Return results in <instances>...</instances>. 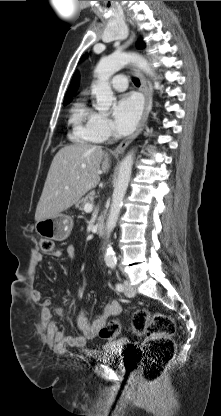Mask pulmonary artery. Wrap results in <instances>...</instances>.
Masks as SVG:
<instances>
[{"label":"pulmonary artery","instance_id":"e3ab8cb5","mask_svg":"<svg viewBox=\"0 0 221 416\" xmlns=\"http://www.w3.org/2000/svg\"><path fill=\"white\" fill-rule=\"evenodd\" d=\"M110 86L115 91H119V92L124 91L127 88V79L123 75L115 76L112 79Z\"/></svg>","mask_w":221,"mask_h":416}]
</instances>
